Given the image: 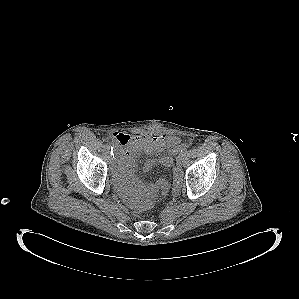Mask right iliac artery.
Masks as SVG:
<instances>
[{
  "mask_svg": "<svg viewBox=\"0 0 299 299\" xmlns=\"http://www.w3.org/2000/svg\"><path fill=\"white\" fill-rule=\"evenodd\" d=\"M114 147H111V152H112V155H113V157H114V149H113Z\"/></svg>",
  "mask_w": 299,
  "mask_h": 299,
  "instance_id": "1",
  "label": "right iliac artery"
}]
</instances>
